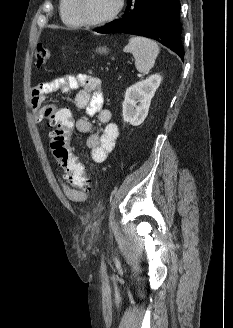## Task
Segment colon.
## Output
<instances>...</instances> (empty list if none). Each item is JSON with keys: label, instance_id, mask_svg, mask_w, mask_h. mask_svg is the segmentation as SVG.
<instances>
[{"label": "colon", "instance_id": "colon-1", "mask_svg": "<svg viewBox=\"0 0 233 328\" xmlns=\"http://www.w3.org/2000/svg\"><path fill=\"white\" fill-rule=\"evenodd\" d=\"M50 56L49 50L44 45H37L35 49L34 65L38 68L45 65ZM51 130L49 143L58 164L69 174V182L73 187L86 190L88 179L83 165L73 154L69 141L74 129V119L67 109L55 110L47 119Z\"/></svg>", "mask_w": 233, "mask_h": 328}]
</instances>
